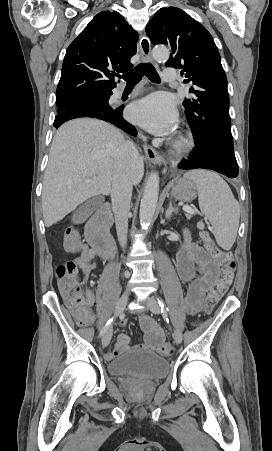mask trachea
Segmentation results:
<instances>
[{
  "mask_svg": "<svg viewBox=\"0 0 272 451\" xmlns=\"http://www.w3.org/2000/svg\"><path fill=\"white\" fill-rule=\"evenodd\" d=\"M143 75H146L152 82L160 81L159 75L153 65H151V63H143L141 65H138L136 68H134V70L129 73H124L122 76H120V78L126 80L127 85H136V83L141 80Z\"/></svg>",
  "mask_w": 272,
  "mask_h": 451,
  "instance_id": "trachea-1",
  "label": "trachea"
}]
</instances>
